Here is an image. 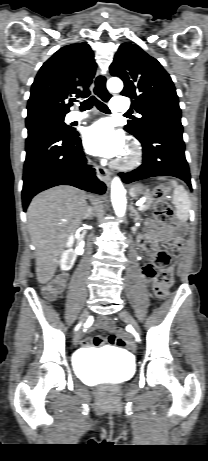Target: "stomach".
Returning a JSON list of instances; mask_svg holds the SVG:
<instances>
[{
    "label": "stomach",
    "instance_id": "stomach-1",
    "mask_svg": "<svg viewBox=\"0 0 208 461\" xmlns=\"http://www.w3.org/2000/svg\"><path fill=\"white\" fill-rule=\"evenodd\" d=\"M130 192L133 193V196H138L142 194H147L148 191L145 189L143 185L136 184L131 188Z\"/></svg>",
    "mask_w": 208,
    "mask_h": 461
}]
</instances>
